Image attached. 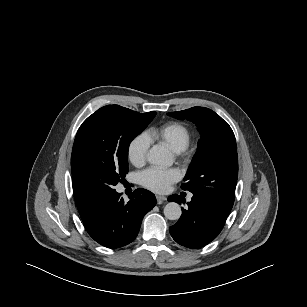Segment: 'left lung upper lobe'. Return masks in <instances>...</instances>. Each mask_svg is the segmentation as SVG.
<instances>
[{"label": "left lung upper lobe", "instance_id": "obj_1", "mask_svg": "<svg viewBox=\"0 0 307 307\" xmlns=\"http://www.w3.org/2000/svg\"><path fill=\"white\" fill-rule=\"evenodd\" d=\"M167 115L195 122L201 134L182 189L204 197L229 213L238 178L237 147L231 127L214 111L203 107Z\"/></svg>", "mask_w": 307, "mask_h": 307}]
</instances>
